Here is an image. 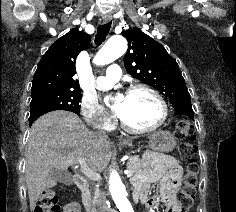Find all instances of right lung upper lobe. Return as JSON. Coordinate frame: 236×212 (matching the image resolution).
Here are the masks:
<instances>
[{
    "label": "right lung upper lobe",
    "instance_id": "cb5924a9",
    "mask_svg": "<svg viewBox=\"0 0 236 212\" xmlns=\"http://www.w3.org/2000/svg\"><path fill=\"white\" fill-rule=\"evenodd\" d=\"M91 37L77 29L55 41L41 58L32 82V94L48 90H80L73 78L75 60L89 47Z\"/></svg>",
    "mask_w": 236,
    "mask_h": 212
}]
</instances>
